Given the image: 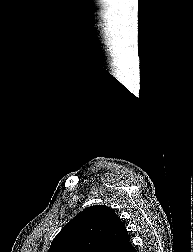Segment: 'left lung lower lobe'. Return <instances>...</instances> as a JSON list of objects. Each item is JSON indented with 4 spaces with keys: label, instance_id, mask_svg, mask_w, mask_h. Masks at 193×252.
Segmentation results:
<instances>
[{
    "label": "left lung lower lobe",
    "instance_id": "obj_1",
    "mask_svg": "<svg viewBox=\"0 0 193 252\" xmlns=\"http://www.w3.org/2000/svg\"><path fill=\"white\" fill-rule=\"evenodd\" d=\"M123 252H137V251L134 249L132 244L129 242L128 246L125 248V250Z\"/></svg>",
    "mask_w": 193,
    "mask_h": 252
}]
</instances>
